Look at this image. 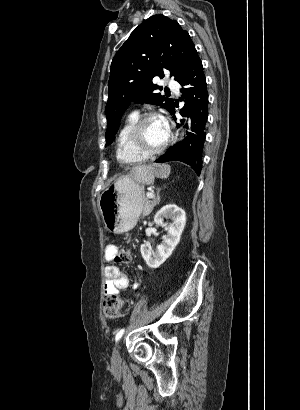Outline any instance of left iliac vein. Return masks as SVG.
Wrapping results in <instances>:
<instances>
[{
	"label": "left iliac vein",
	"mask_w": 300,
	"mask_h": 410,
	"mask_svg": "<svg viewBox=\"0 0 300 410\" xmlns=\"http://www.w3.org/2000/svg\"><path fill=\"white\" fill-rule=\"evenodd\" d=\"M111 361L113 365H118L121 362L119 342L114 346Z\"/></svg>",
	"instance_id": "4c4485c4"
}]
</instances>
